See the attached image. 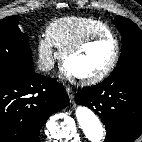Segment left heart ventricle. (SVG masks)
<instances>
[{"mask_svg":"<svg viewBox=\"0 0 142 142\" xmlns=\"http://www.w3.org/2000/svg\"><path fill=\"white\" fill-rule=\"evenodd\" d=\"M114 52L115 45L112 40H98L70 56L66 60L65 67L75 76H91L102 71L110 63Z\"/></svg>","mask_w":142,"mask_h":142,"instance_id":"1","label":"left heart ventricle"}]
</instances>
